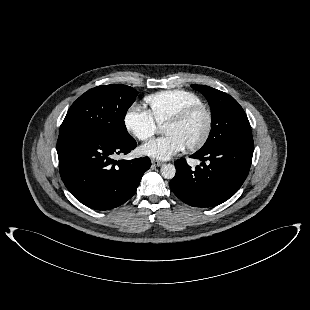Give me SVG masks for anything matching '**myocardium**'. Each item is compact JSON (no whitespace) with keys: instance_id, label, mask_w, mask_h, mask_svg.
I'll return each instance as SVG.
<instances>
[{"instance_id":"f54148a6","label":"myocardium","mask_w":310,"mask_h":310,"mask_svg":"<svg viewBox=\"0 0 310 310\" xmlns=\"http://www.w3.org/2000/svg\"><path fill=\"white\" fill-rule=\"evenodd\" d=\"M197 113H203L206 117V127L205 130L200 137L199 140H197L195 143L185 146L187 150L189 151H196L202 148L207 141L209 140L212 130H213V114L211 109L204 105V104H195L192 106H189L183 110H181L179 113L168 119L165 124H181L190 119L192 116H194Z\"/></svg>"}]
</instances>
